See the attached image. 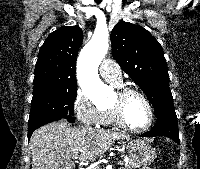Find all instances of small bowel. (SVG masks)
Wrapping results in <instances>:
<instances>
[{
	"instance_id": "c3829d8e",
	"label": "small bowel",
	"mask_w": 200,
	"mask_h": 169,
	"mask_svg": "<svg viewBox=\"0 0 200 169\" xmlns=\"http://www.w3.org/2000/svg\"><path fill=\"white\" fill-rule=\"evenodd\" d=\"M142 169H150V168H147V167H143Z\"/></svg>"
}]
</instances>
